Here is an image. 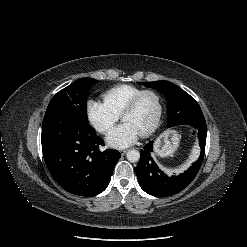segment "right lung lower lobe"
<instances>
[{
	"label": "right lung lower lobe",
	"mask_w": 247,
	"mask_h": 247,
	"mask_svg": "<svg viewBox=\"0 0 247 247\" xmlns=\"http://www.w3.org/2000/svg\"><path fill=\"white\" fill-rule=\"evenodd\" d=\"M41 140L43 157L54 180L79 196L103 192L121 157L117 150L101 152L99 147L104 142L87 119L67 112L45 114Z\"/></svg>",
	"instance_id": "1"
}]
</instances>
